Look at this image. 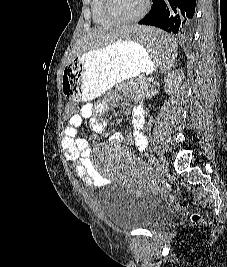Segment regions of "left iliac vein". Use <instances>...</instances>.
Masks as SVG:
<instances>
[{
	"mask_svg": "<svg viewBox=\"0 0 227 267\" xmlns=\"http://www.w3.org/2000/svg\"><path fill=\"white\" fill-rule=\"evenodd\" d=\"M157 169L160 176H164L168 171V163L164 156H160L157 160Z\"/></svg>",
	"mask_w": 227,
	"mask_h": 267,
	"instance_id": "4c4485c4",
	"label": "left iliac vein"
}]
</instances>
